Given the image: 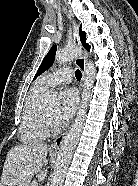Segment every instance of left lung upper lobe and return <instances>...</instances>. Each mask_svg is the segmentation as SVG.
Instances as JSON below:
<instances>
[{
  "label": "left lung upper lobe",
  "instance_id": "1",
  "mask_svg": "<svg viewBox=\"0 0 138 186\" xmlns=\"http://www.w3.org/2000/svg\"><path fill=\"white\" fill-rule=\"evenodd\" d=\"M80 40H81L83 47L86 50L90 51V46H89V44L86 43V34H85V32H83L81 30V27H80ZM56 50H57L56 45H54L49 50L48 54L44 57L34 79H36L40 74H42L45 70H47L53 64Z\"/></svg>",
  "mask_w": 138,
  "mask_h": 186
}]
</instances>
